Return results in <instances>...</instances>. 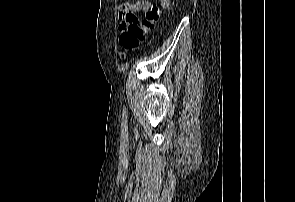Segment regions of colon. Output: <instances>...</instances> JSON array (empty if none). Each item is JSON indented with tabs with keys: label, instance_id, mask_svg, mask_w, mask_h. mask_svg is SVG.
Wrapping results in <instances>:
<instances>
[{
	"label": "colon",
	"instance_id": "colon-1",
	"mask_svg": "<svg viewBox=\"0 0 295 202\" xmlns=\"http://www.w3.org/2000/svg\"><path fill=\"white\" fill-rule=\"evenodd\" d=\"M161 9L154 4L147 11L145 18L140 23L131 22L119 37V44L124 51L137 48L144 39L145 34L153 29L155 22L159 19Z\"/></svg>",
	"mask_w": 295,
	"mask_h": 202
}]
</instances>
